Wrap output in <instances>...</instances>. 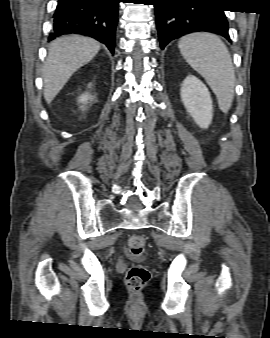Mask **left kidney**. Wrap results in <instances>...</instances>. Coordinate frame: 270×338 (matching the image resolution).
I'll return each mask as SVG.
<instances>
[{
  "instance_id": "obj_1",
  "label": "left kidney",
  "mask_w": 270,
  "mask_h": 338,
  "mask_svg": "<svg viewBox=\"0 0 270 338\" xmlns=\"http://www.w3.org/2000/svg\"><path fill=\"white\" fill-rule=\"evenodd\" d=\"M181 100L194 121L201 128H208L213 117L210 92L197 77L189 75L181 87Z\"/></svg>"
}]
</instances>
